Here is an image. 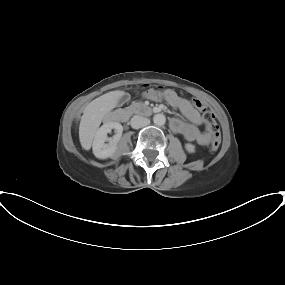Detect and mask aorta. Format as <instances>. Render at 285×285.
Here are the masks:
<instances>
[{
	"label": "aorta",
	"mask_w": 285,
	"mask_h": 285,
	"mask_svg": "<svg viewBox=\"0 0 285 285\" xmlns=\"http://www.w3.org/2000/svg\"><path fill=\"white\" fill-rule=\"evenodd\" d=\"M153 122H154V124L157 125V126H162V125H164L165 122H166V117H165L164 114H156V115H154V117H153Z\"/></svg>",
	"instance_id": "1"
}]
</instances>
